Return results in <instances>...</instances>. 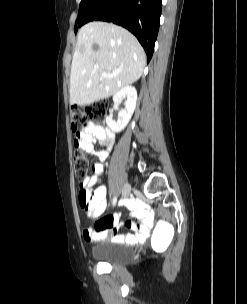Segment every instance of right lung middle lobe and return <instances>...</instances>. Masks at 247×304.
Masks as SVG:
<instances>
[{"instance_id":"obj_1","label":"right lung middle lobe","mask_w":247,"mask_h":304,"mask_svg":"<svg viewBox=\"0 0 247 304\" xmlns=\"http://www.w3.org/2000/svg\"><path fill=\"white\" fill-rule=\"evenodd\" d=\"M103 0H81L78 17L76 23L79 27L82 26V22ZM75 33L77 32V26L74 28Z\"/></svg>"}]
</instances>
